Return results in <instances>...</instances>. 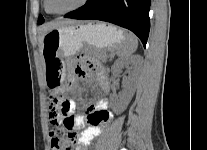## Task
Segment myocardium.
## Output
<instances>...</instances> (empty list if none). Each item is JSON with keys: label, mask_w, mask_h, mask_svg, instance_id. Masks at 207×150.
Segmentation results:
<instances>
[{"label": "myocardium", "mask_w": 207, "mask_h": 150, "mask_svg": "<svg viewBox=\"0 0 207 150\" xmlns=\"http://www.w3.org/2000/svg\"><path fill=\"white\" fill-rule=\"evenodd\" d=\"M89 0H81L76 6L68 9V10H65V11H62V12H56V11H53L50 6H49V0H44V6H45V9L47 10L48 13L50 14H54V15H65V14H68V13H71L75 10H78L80 9L81 7H83Z\"/></svg>", "instance_id": "myocardium-1"}]
</instances>
